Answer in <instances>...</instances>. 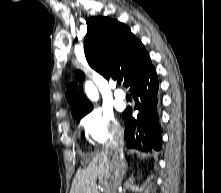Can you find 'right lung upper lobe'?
<instances>
[{"label":"right lung upper lobe","mask_w":221,"mask_h":193,"mask_svg":"<svg viewBox=\"0 0 221 193\" xmlns=\"http://www.w3.org/2000/svg\"><path fill=\"white\" fill-rule=\"evenodd\" d=\"M87 28L84 52L89 65L106 79L120 77L127 86L130 77L150 59L144 45L129 27L114 19L92 17L87 20ZM76 74L81 80L83 73ZM67 97L74 102L75 117H83L92 110V104L80 96L75 84L69 87Z\"/></svg>","instance_id":"obj_1"}]
</instances>
